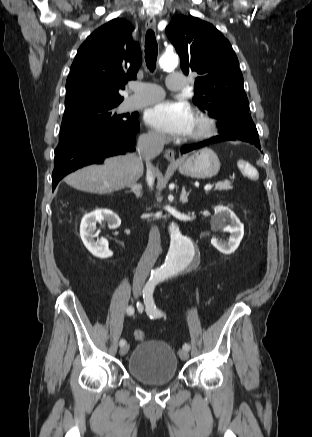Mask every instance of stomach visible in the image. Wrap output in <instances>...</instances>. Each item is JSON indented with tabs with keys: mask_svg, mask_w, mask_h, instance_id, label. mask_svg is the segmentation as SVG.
<instances>
[{
	"mask_svg": "<svg viewBox=\"0 0 312 437\" xmlns=\"http://www.w3.org/2000/svg\"><path fill=\"white\" fill-rule=\"evenodd\" d=\"M174 166L184 176L205 179L218 174L220 161L212 149L202 148L192 154L185 155Z\"/></svg>",
	"mask_w": 312,
	"mask_h": 437,
	"instance_id": "stomach-1",
	"label": "stomach"
}]
</instances>
